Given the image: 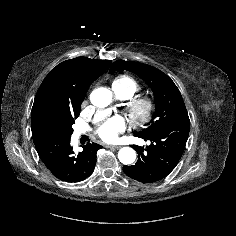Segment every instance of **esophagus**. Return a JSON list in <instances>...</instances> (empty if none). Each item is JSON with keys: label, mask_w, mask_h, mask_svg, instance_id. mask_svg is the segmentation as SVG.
I'll return each mask as SVG.
<instances>
[{"label": "esophagus", "mask_w": 236, "mask_h": 236, "mask_svg": "<svg viewBox=\"0 0 236 236\" xmlns=\"http://www.w3.org/2000/svg\"><path fill=\"white\" fill-rule=\"evenodd\" d=\"M107 147L111 148V149H119V148H121V146H119V145H108Z\"/></svg>", "instance_id": "esophagus-1"}]
</instances>
